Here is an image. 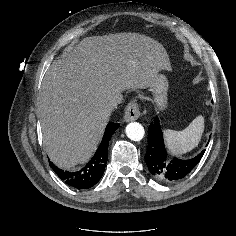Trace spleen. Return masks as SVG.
<instances>
[{
  "label": "spleen",
  "mask_w": 236,
  "mask_h": 236,
  "mask_svg": "<svg viewBox=\"0 0 236 236\" xmlns=\"http://www.w3.org/2000/svg\"><path fill=\"white\" fill-rule=\"evenodd\" d=\"M204 131V117L197 116L182 131L165 130L168 149L177 155L187 153L198 146Z\"/></svg>",
  "instance_id": "spleen-1"
}]
</instances>
